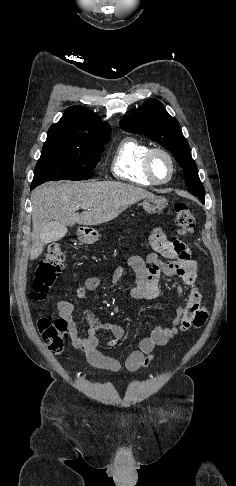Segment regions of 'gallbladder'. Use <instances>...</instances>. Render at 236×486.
I'll use <instances>...</instances> for the list:
<instances>
[{"instance_id": "1", "label": "gallbladder", "mask_w": 236, "mask_h": 486, "mask_svg": "<svg viewBox=\"0 0 236 486\" xmlns=\"http://www.w3.org/2000/svg\"><path fill=\"white\" fill-rule=\"evenodd\" d=\"M48 242L60 240L66 233V226L62 223L51 221L46 229Z\"/></svg>"}]
</instances>
